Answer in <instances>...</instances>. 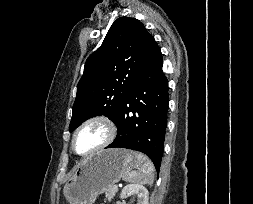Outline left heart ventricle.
Listing matches in <instances>:
<instances>
[{
  "label": "left heart ventricle",
  "mask_w": 253,
  "mask_h": 204,
  "mask_svg": "<svg viewBox=\"0 0 253 204\" xmlns=\"http://www.w3.org/2000/svg\"><path fill=\"white\" fill-rule=\"evenodd\" d=\"M107 136L106 128L100 123L88 125L82 129L75 142L77 152L86 153L99 145Z\"/></svg>",
  "instance_id": "left-heart-ventricle-1"
}]
</instances>
